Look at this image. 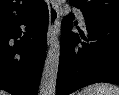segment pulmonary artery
I'll use <instances>...</instances> for the list:
<instances>
[{
    "mask_svg": "<svg viewBox=\"0 0 119 95\" xmlns=\"http://www.w3.org/2000/svg\"><path fill=\"white\" fill-rule=\"evenodd\" d=\"M76 14H77L78 20L80 21L81 25L85 26V19H84L83 14L80 11H76Z\"/></svg>",
    "mask_w": 119,
    "mask_h": 95,
    "instance_id": "1",
    "label": "pulmonary artery"
}]
</instances>
